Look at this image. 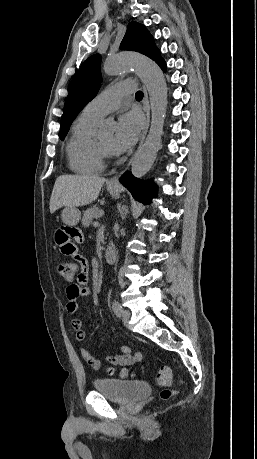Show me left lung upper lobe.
Returning a JSON list of instances; mask_svg holds the SVG:
<instances>
[{
  "label": "left lung upper lobe",
  "mask_w": 257,
  "mask_h": 459,
  "mask_svg": "<svg viewBox=\"0 0 257 459\" xmlns=\"http://www.w3.org/2000/svg\"><path fill=\"white\" fill-rule=\"evenodd\" d=\"M120 49L142 53L156 63L162 59L151 34L144 25L136 22L128 25ZM100 62L99 54L92 55L72 79L61 117L60 139L65 138L78 113L96 96L101 84Z\"/></svg>",
  "instance_id": "obj_1"
}]
</instances>
